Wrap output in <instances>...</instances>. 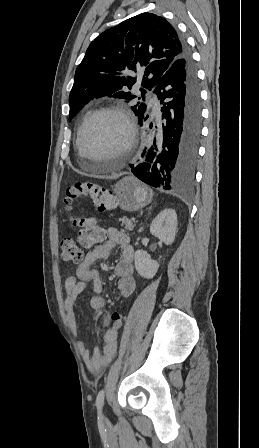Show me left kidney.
I'll return each instance as SVG.
<instances>
[{
	"label": "left kidney",
	"mask_w": 259,
	"mask_h": 448,
	"mask_svg": "<svg viewBox=\"0 0 259 448\" xmlns=\"http://www.w3.org/2000/svg\"><path fill=\"white\" fill-rule=\"evenodd\" d=\"M176 232L177 214L175 210H171V208L162 210L150 226V234L159 238V240L164 242V244H167V246L173 244ZM134 256L135 268L138 274H140L142 278H147V280L154 278L159 268L158 262H156V260H151L150 256H148L147 252H144V250H137Z\"/></svg>",
	"instance_id": "5707ae66"
}]
</instances>
